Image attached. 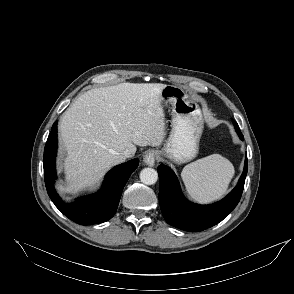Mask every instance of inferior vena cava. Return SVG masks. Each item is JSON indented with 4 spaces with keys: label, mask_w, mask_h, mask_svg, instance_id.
Masks as SVG:
<instances>
[{
    "label": "inferior vena cava",
    "mask_w": 294,
    "mask_h": 294,
    "mask_svg": "<svg viewBox=\"0 0 294 294\" xmlns=\"http://www.w3.org/2000/svg\"><path fill=\"white\" fill-rule=\"evenodd\" d=\"M121 155L123 156L124 159H126V158L132 157L133 153L129 149H126L121 153Z\"/></svg>",
    "instance_id": "inferior-vena-cava-1"
}]
</instances>
